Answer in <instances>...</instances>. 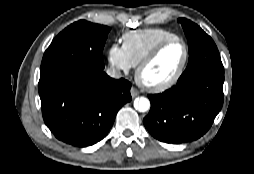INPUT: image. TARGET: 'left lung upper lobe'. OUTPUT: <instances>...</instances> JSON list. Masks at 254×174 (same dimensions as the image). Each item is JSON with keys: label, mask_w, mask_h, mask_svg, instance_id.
Here are the masks:
<instances>
[{"label": "left lung upper lobe", "mask_w": 254, "mask_h": 174, "mask_svg": "<svg viewBox=\"0 0 254 174\" xmlns=\"http://www.w3.org/2000/svg\"><path fill=\"white\" fill-rule=\"evenodd\" d=\"M187 36L189 46V61L180 80H186L206 71L224 72L218 49L210 36L192 21L179 18Z\"/></svg>", "instance_id": "left-lung-upper-lobe-1"}]
</instances>
